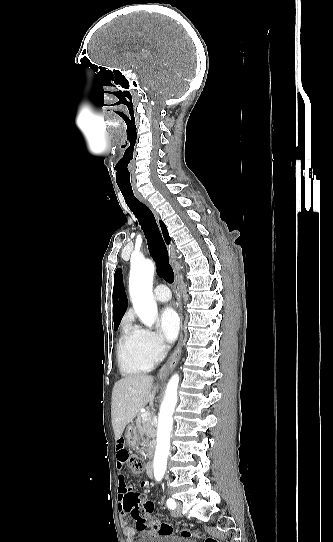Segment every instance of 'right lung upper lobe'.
<instances>
[{"instance_id":"1","label":"right lung upper lobe","mask_w":333,"mask_h":542,"mask_svg":"<svg viewBox=\"0 0 333 542\" xmlns=\"http://www.w3.org/2000/svg\"><path fill=\"white\" fill-rule=\"evenodd\" d=\"M160 226L164 239L167 244L170 242V237L168 235V230L164 223L160 221ZM127 307V297L124 291L123 280H122V271L117 269L114 277V289H113V320L114 326H119L120 321L126 311Z\"/></svg>"}]
</instances>
